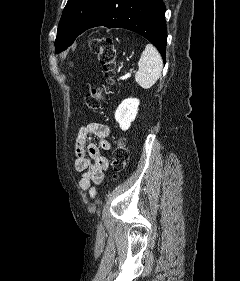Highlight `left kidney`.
Segmentation results:
<instances>
[{
    "mask_svg": "<svg viewBox=\"0 0 240 281\" xmlns=\"http://www.w3.org/2000/svg\"><path fill=\"white\" fill-rule=\"evenodd\" d=\"M139 104L140 101L138 99L128 98L117 107L115 119L123 131L128 130L131 122L135 120Z\"/></svg>",
    "mask_w": 240,
    "mask_h": 281,
    "instance_id": "left-kidney-1",
    "label": "left kidney"
}]
</instances>
